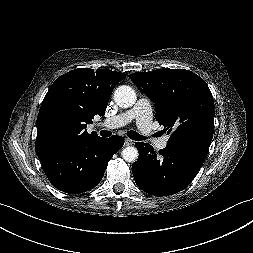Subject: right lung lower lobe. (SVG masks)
<instances>
[{
  "mask_svg": "<svg viewBox=\"0 0 253 253\" xmlns=\"http://www.w3.org/2000/svg\"><path fill=\"white\" fill-rule=\"evenodd\" d=\"M123 144L121 136L100 137L80 145L58 147L39 159L46 176L57 189L78 194L100 182L108 162Z\"/></svg>",
  "mask_w": 253,
  "mask_h": 253,
  "instance_id": "1",
  "label": "right lung lower lobe"
}]
</instances>
